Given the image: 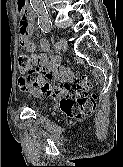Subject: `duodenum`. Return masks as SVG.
<instances>
[{"instance_id":"duodenum-1","label":"duodenum","mask_w":123,"mask_h":167,"mask_svg":"<svg viewBox=\"0 0 123 167\" xmlns=\"http://www.w3.org/2000/svg\"><path fill=\"white\" fill-rule=\"evenodd\" d=\"M31 17L33 18V13L30 12Z\"/></svg>"}]
</instances>
